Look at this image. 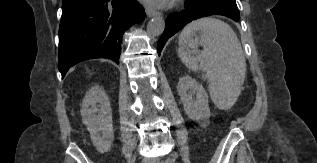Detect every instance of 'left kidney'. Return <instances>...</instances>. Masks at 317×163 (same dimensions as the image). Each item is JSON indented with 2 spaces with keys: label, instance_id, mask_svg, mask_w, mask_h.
I'll list each match as a JSON object with an SVG mask.
<instances>
[{
  "label": "left kidney",
  "instance_id": "left-kidney-1",
  "mask_svg": "<svg viewBox=\"0 0 317 163\" xmlns=\"http://www.w3.org/2000/svg\"><path fill=\"white\" fill-rule=\"evenodd\" d=\"M177 90L187 116L206 127L211 113L208 95L203 86L187 75L179 79Z\"/></svg>",
  "mask_w": 317,
  "mask_h": 163
}]
</instances>
